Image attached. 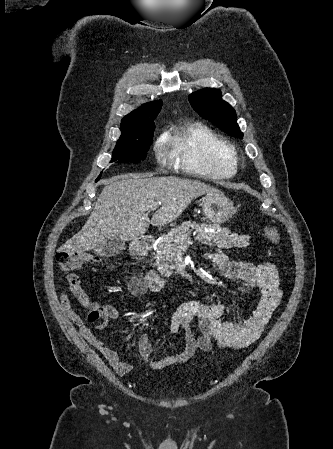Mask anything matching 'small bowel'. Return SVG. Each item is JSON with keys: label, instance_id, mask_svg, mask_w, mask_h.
<instances>
[{"label": "small bowel", "instance_id": "obj_1", "mask_svg": "<svg viewBox=\"0 0 333 449\" xmlns=\"http://www.w3.org/2000/svg\"><path fill=\"white\" fill-rule=\"evenodd\" d=\"M206 259L226 276L241 281L242 297L257 295V305L244 319L224 320L222 304L195 300L181 303L172 315L170 323V331L173 334L179 331L184 333V343L178 352L161 359H154L148 334L143 333L138 337L139 354L151 369H163L183 363L197 351L209 352L214 344L229 349H241L248 346L262 334L273 312L280 304L283 291L278 273L271 263L229 262L226 255L221 252L208 253ZM67 283L69 291L86 309L90 311L99 306L85 293L81 286V279L76 273L67 275ZM60 303L69 319L79 326L81 336L104 355L117 374L123 376L133 370V364L121 361L113 349L98 339L83 324L81 318L72 309L66 291L61 292ZM103 315L105 319L118 318V312L113 307L104 308ZM193 321L199 323L197 336L191 329Z\"/></svg>", "mask_w": 333, "mask_h": 449}]
</instances>
